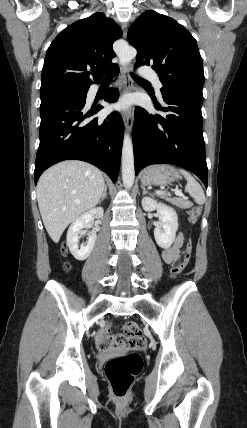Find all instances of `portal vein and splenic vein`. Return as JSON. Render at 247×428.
<instances>
[{
	"instance_id": "1",
	"label": "portal vein and splenic vein",
	"mask_w": 247,
	"mask_h": 428,
	"mask_svg": "<svg viewBox=\"0 0 247 428\" xmlns=\"http://www.w3.org/2000/svg\"><path fill=\"white\" fill-rule=\"evenodd\" d=\"M156 194L163 195L164 192L163 191H156ZM175 194L178 196H183V193L181 192V190H178V189H175Z\"/></svg>"
}]
</instances>
